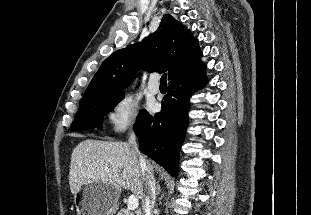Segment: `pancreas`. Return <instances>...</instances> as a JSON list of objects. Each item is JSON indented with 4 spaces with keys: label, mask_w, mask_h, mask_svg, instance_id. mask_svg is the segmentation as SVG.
<instances>
[{
    "label": "pancreas",
    "mask_w": 311,
    "mask_h": 215,
    "mask_svg": "<svg viewBox=\"0 0 311 215\" xmlns=\"http://www.w3.org/2000/svg\"><path fill=\"white\" fill-rule=\"evenodd\" d=\"M118 215H134V213L128 209H122Z\"/></svg>",
    "instance_id": "obj_1"
}]
</instances>
